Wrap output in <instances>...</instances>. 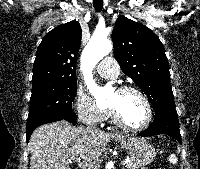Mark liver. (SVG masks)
<instances>
[{
    "mask_svg": "<svg viewBox=\"0 0 200 169\" xmlns=\"http://www.w3.org/2000/svg\"><path fill=\"white\" fill-rule=\"evenodd\" d=\"M111 135L91 128H76L66 121L38 127L31 135L30 169H70L71 160H97Z\"/></svg>",
    "mask_w": 200,
    "mask_h": 169,
    "instance_id": "6515ba94",
    "label": "liver"
}]
</instances>
